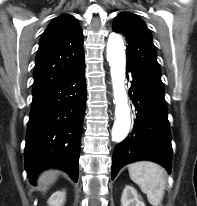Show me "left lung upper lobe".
<instances>
[{"label": "left lung upper lobe", "instance_id": "obj_1", "mask_svg": "<svg viewBox=\"0 0 197 206\" xmlns=\"http://www.w3.org/2000/svg\"><path fill=\"white\" fill-rule=\"evenodd\" d=\"M112 30L126 37L127 66L163 89L155 46L145 23L132 13L122 12L115 17Z\"/></svg>", "mask_w": 197, "mask_h": 206}]
</instances>
